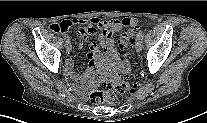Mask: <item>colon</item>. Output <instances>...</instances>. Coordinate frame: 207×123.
<instances>
[{
  "instance_id": "5ec220e1",
  "label": "colon",
  "mask_w": 207,
  "mask_h": 123,
  "mask_svg": "<svg viewBox=\"0 0 207 123\" xmlns=\"http://www.w3.org/2000/svg\"><path fill=\"white\" fill-rule=\"evenodd\" d=\"M50 28L53 31L59 30L58 24H53ZM138 28V24L128 26L120 35L118 46L124 54H127L131 50L134 34ZM136 87L137 84L131 76L114 74L105 80L102 87L96 89L91 94V100L95 104L118 103L123 94L134 91Z\"/></svg>"
}]
</instances>
